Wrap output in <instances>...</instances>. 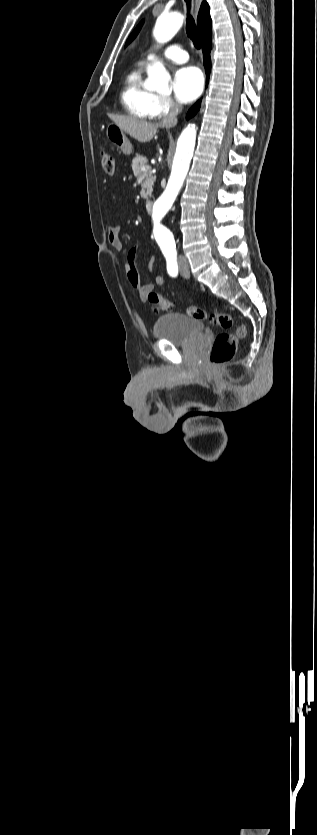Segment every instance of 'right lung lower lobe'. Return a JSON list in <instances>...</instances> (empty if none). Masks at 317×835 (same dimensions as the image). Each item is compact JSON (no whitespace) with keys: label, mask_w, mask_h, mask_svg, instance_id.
Listing matches in <instances>:
<instances>
[{"label":"right lung lower lobe","mask_w":317,"mask_h":835,"mask_svg":"<svg viewBox=\"0 0 317 835\" xmlns=\"http://www.w3.org/2000/svg\"><path fill=\"white\" fill-rule=\"evenodd\" d=\"M212 30L203 38V57H204V66L206 71V82L209 79V72L211 70V58H210V51L212 48V40H211ZM201 104V100L197 101L195 105L189 110L188 118L192 117L196 114L199 110Z\"/></svg>","instance_id":"right-lung-lower-lobe-1"}]
</instances>
